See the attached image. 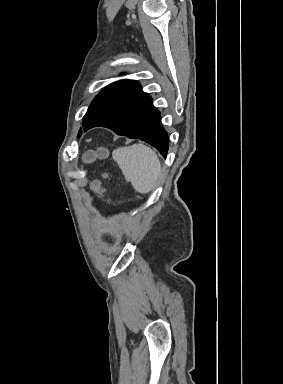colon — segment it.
Instances as JSON below:
<instances>
[{
    "label": "colon",
    "instance_id": "colon-1",
    "mask_svg": "<svg viewBox=\"0 0 283 384\" xmlns=\"http://www.w3.org/2000/svg\"><path fill=\"white\" fill-rule=\"evenodd\" d=\"M92 188H93L94 190H99V185H98L97 183H94V184L92 185Z\"/></svg>",
    "mask_w": 283,
    "mask_h": 384
}]
</instances>
